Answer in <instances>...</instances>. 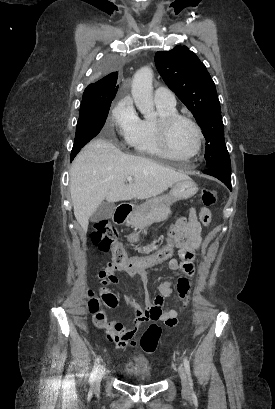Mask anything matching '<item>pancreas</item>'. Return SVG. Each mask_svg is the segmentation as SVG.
Wrapping results in <instances>:
<instances>
[{
	"label": "pancreas",
	"instance_id": "1",
	"mask_svg": "<svg viewBox=\"0 0 275 409\" xmlns=\"http://www.w3.org/2000/svg\"><path fill=\"white\" fill-rule=\"evenodd\" d=\"M171 211L169 207L166 205H155L150 209L149 213H145L143 209L141 211H135L133 215H130L126 225H132V227H148V225H152V223H159V221H165L168 215H170ZM130 243H137L139 239V233H133L128 237Z\"/></svg>",
	"mask_w": 275,
	"mask_h": 409
}]
</instances>
